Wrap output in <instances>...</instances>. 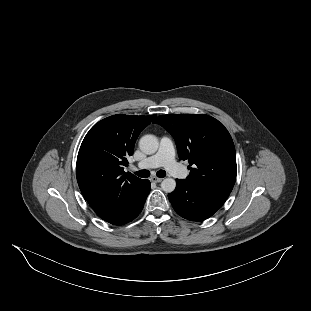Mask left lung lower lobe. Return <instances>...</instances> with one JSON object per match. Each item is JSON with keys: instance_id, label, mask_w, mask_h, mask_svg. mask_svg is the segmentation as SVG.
Masks as SVG:
<instances>
[{"instance_id": "0a47b994", "label": "left lung lower lobe", "mask_w": 311, "mask_h": 311, "mask_svg": "<svg viewBox=\"0 0 311 311\" xmlns=\"http://www.w3.org/2000/svg\"><path fill=\"white\" fill-rule=\"evenodd\" d=\"M229 192L176 180L175 190L168 194L174 210L183 218L203 221L211 217L226 201Z\"/></svg>"}]
</instances>
